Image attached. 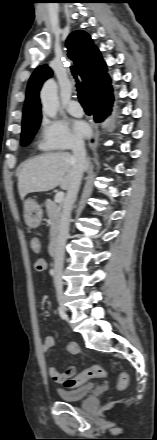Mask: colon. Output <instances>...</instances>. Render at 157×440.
Segmentation results:
<instances>
[{"label":"colon","mask_w":157,"mask_h":440,"mask_svg":"<svg viewBox=\"0 0 157 440\" xmlns=\"http://www.w3.org/2000/svg\"><path fill=\"white\" fill-rule=\"evenodd\" d=\"M30 247L34 253H40V251H41L40 239L37 237H32L30 240ZM34 267L38 271H40V270L43 271L44 269H46L47 263L43 258H39L36 260ZM105 375H106V370L103 367H101L99 365H94L92 367L85 369L77 376L69 377L68 379H66L64 381L63 385L67 389H75V388L83 385L84 383H86L90 379L103 377ZM128 382H129L128 375L126 373H121L118 378L117 389L124 390L127 387Z\"/></svg>","instance_id":"5ec220e1"}]
</instances>
